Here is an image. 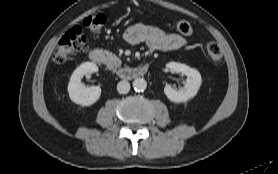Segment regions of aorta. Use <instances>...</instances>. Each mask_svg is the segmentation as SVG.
Listing matches in <instances>:
<instances>
[{"instance_id":"762f6f07","label":"aorta","mask_w":278,"mask_h":174,"mask_svg":"<svg viewBox=\"0 0 278 174\" xmlns=\"http://www.w3.org/2000/svg\"><path fill=\"white\" fill-rule=\"evenodd\" d=\"M132 85H133V88H134L136 91L140 92V91H144V90L146 89V87H147V82H146V80L143 79V78H136V79L133 81Z\"/></svg>"}]
</instances>
